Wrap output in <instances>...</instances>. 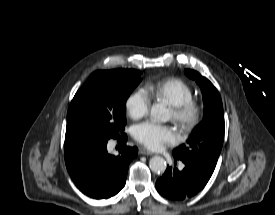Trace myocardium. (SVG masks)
<instances>
[{"mask_svg":"<svg viewBox=\"0 0 275 215\" xmlns=\"http://www.w3.org/2000/svg\"><path fill=\"white\" fill-rule=\"evenodd\" d=\"M173 120L180 128L189 132L194 129L202 118V106L196 100H189L180 105L172 106Z\"/></svg>","mask_w":275,"mask_h":215,"instance_id":"myocardium-1","label":"myocardium"}]
</instances>
